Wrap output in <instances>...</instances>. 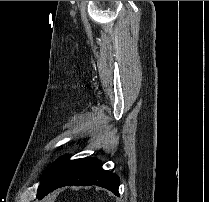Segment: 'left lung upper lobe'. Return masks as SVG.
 <instances>
[{"instance_id":"5c2ea615","label":"left lung upper lobe","mask_w":209,"mask_h":202,"mask_svg":"<svg viewBox=\"0 0 209 202\" xmlns=\"http://www.w3.org/2000/svg\"><path fill=\"white\" fill-rule=\"evenodd\" d=\"M45 175H46L45 173L42 175V179L40 181H42L44 179Z\"/></svg>"}]
</instances>
